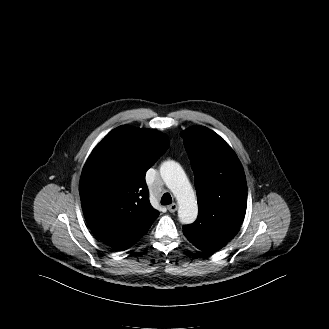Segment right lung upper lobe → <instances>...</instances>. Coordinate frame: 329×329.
Segmentation results:
<instances>
[{
    "label": "right lung upper lobe",
    "instance_id": "1",
    "mask_svg": "<svg viewBox=\"0 0 329 329\" xmlns=\"http://www.w3.org/2000/svg\"><path fill=\"white\" fill-rule=\"evenodd\" d=\"M168 147L166 135L124 125L89 156L79 185L82 209L93 234L111 248L132 246L158 217L145 174Z\"/></svg>",
    "mask_w": 329,
    "mask_h": 329
}]
</instances>
